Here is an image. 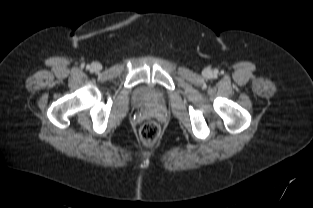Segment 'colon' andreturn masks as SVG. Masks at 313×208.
<instances>
[{
  "label": "colon",
  "instance_id": "obj_1",
  "mask_svg": "<svg viewBox=\"0 0 313 208\" xmlns=\"http://www.w3.org/2000/svg\"><path fill=\"white\" fill-rule=\"evenodd\" d=\"M160 132V126L156 122L147 121L140 128V138L145 144H152L158 139Z\"/></svg>",
  "mask_w": 313,
  "mask_h": 208
}]
</instances>
